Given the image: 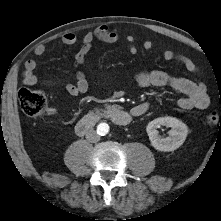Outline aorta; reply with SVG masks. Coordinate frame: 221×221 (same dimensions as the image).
Wrapping results in <instances>:
<instances>
[{
  "instance_id": "obj_1",
  "label": "aorta",
  "mask_w": 221,
  "mask_h": 221,
  "mask_svg": "<svg viewBox=\"0 0 221 221\" xmlns=\"http://www.w3.org/2000/svg\"><path fill=\"white\" fill-rule=\"evenodd\" d=\"M109 132V125L107 123H100L97 126V133L101 136L106 135Z\"/></svg>"
}]
</instances>
